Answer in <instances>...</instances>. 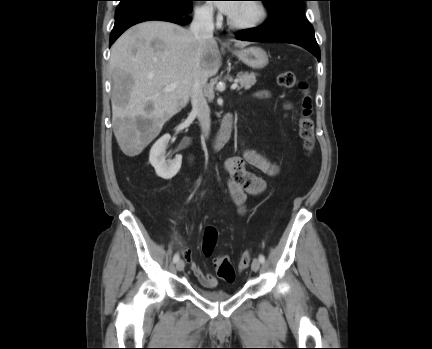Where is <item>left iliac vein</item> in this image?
<instances>
[{
  "instance_id": "4c4485c4",
  "label": "left iliac vein",
  "mask_w": 432,
  "mask_h": 349,
  "mask_svg": "<svg viewBox=\"0 0 432 349\" xmlns=\"http://www.w3.org/2000/svg\"><path fill=\"white\" fill-rule=\"evenodd\" d=\"M251 268L253 271H258L260 268V261L258 259H254Z\"/></svg>"
}]
</instances>
